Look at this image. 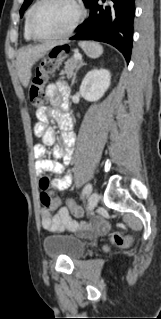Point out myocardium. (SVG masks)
Wrapping results in <instances>:
<instances>
[{
	"mask_svg": "<svg viewBox=\"0 0 161 319\" xmlns=\"http://www.w3.org/2000/svg\"><path fill=\"white\" fill-rule=\"evenodd\" d=\"M47 1L48 0H39L30 14L29 21H28V32H29L30 37L33 40L51 41V40H57V39L66 37L74 31V29L77 27V25L79 24V22L82 20V18L84 16V10H83V7L80 4V2L78 0H68L73 5V7L75 9V16H74L73 20L71 21V23L67 26V28L64 29L62 32L55 34V35H52V36H45V37L38 36L34 31L33 21H34V18L36 16L38 10Z\"/></svg>",
	"mask_w": 161,
	"mask_h": 319,
	"instance_id": "1",
	"label": "myocardium"
}]
</instances>
